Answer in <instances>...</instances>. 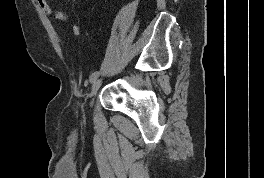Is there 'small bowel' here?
Returning <instances> with one entry per match:
<instances>
[{"mask_svg":"<svg viewBox=\"0 0 264 178\" xmlns=\"http://www.w3.org/2000/svg\"><path fill=\"white\" fill-rule=\"evenodd\" d=\"M37 3L41 10L47 14L52 16L55 20L60 21V22H67L68 21V16L67 14L62 11V10H54L48 0H37ZM82 26L80 24H74L72 26V32L74 35H80L82 33Z\"/></svg>","mask_w":264,"mask_h":178,"instance_id":"c3829d8e","label":"small bowel"}]
</instances>
